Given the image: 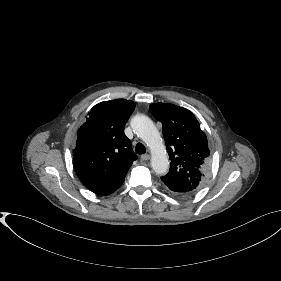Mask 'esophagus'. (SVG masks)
<instances>
[{"label":"esophagus","mask_w":281,"mask_h":281,"mask_svg":"<svg viewBox=\"0 0 281 281\" xmlns=\"http://www.w3.org/2000/svg\"><path fill=\"white\" fill-rule=\"evenodd\" d=\"M140 159H141L142 161H147V160L150 159V155H149V154H143V155H141Z\"/></svg>","instance_id":"1"}]
</instances>
